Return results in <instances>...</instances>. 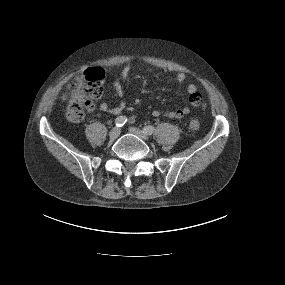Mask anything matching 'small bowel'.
Returning <instances> with one entry per match:
<instances>
[{
	"mask_svg": "<svg viewBox=\"0 0 285 285\" xmlns=\"http://www.w3.org/2000/svg\"><path fill=\"white\" fill-rule=\"evenodd\" d=\"M133 69L132 64H128L123 67L120 73V78L116 79L113 82V86L117 92V94L121 97L123 96V87L122 83L127 81L131 71ZM174 81L178 84L179 88H186L188 95H189V104L181 106L177 109L174 110H160V109H155L152 114L155 117H165L168 119H180L190 113V110L192 107H198L201 104V94L197 88V86L193 83L187 84V76L179 72L175 74L174 76ZM125 108V103L121 102L118 105H110L107 102H102L100 104V109L103 112L112 114V115H117L120 114ZM134 120V117L131 118V121Z\"/></svg>",
	"mask_w": 285,
	"mask_h": 285,
	"instance_id": "obj_1",
	"label": "small bowel"
}]
</instances>
